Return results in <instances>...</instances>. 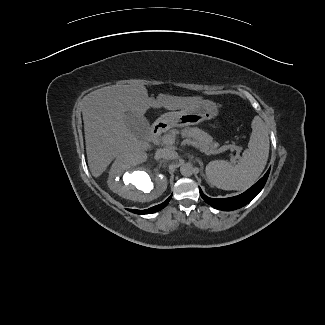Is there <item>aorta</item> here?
I'll return each instance as SVG.
<instances>
[{"mask_svg": "<svg viewBox=\"0 0 325 325\" xmlns=\"http://www.w3.org/2000/svg\"><path fill=\"white\" fill-rule=\"evenodd\" d=\"M180 173L185 176L189 177L193 174V166L190 163H184L180 167Z\"/></svg>", "mask_w": 325, "mask_h": 325, "instance_id": "1", "label": "aorta"}]
</instances>
